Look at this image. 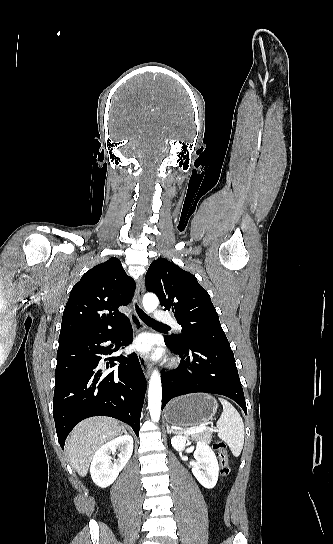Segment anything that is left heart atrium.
I'll return each mask as SVG.
<instances>
[{
    "mask_svg": "<svg viewBox=\"0 0 333 544\" xmlns=\"http://www.w3.org/2000/svg\"><path fill=\"white\" fill-rule=\"evenodd\" d=\"M151 347V340L148 337H140L134 344V349L142 353H147Z\"/></svg>",
    "mask_w": 333,
    "mask_h": 544,
    "instance_id": "left-heart-atrium-1",
    "label": "left heart atrium"
}]
</instances>
